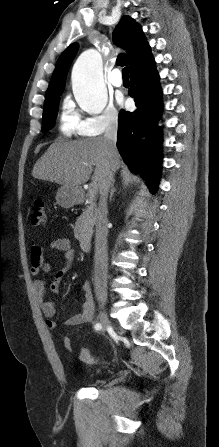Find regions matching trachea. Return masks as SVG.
Instances as JSON below:
<instances>
[{
  "mask_svg": "<svg viewBox=\"0 0 219 447\" xmlns=\"http://www.w3.org/2000/svg\"><path fill=\"white\" fill-rule=\"evenodd\" d=\"M122 77L123 78H129V67L127 66V67H125V68H123V70H122Z\"/></svg>",
  "mask_w": 219,
  "mask_h": 447,
  "instance_id": "1",
  "label": "trachea"
}]
</instances>
